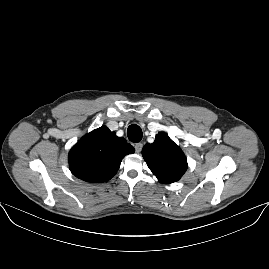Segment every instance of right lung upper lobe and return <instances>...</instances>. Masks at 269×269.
Listing matches in <instances>:
<instances>
[{
	"mask_svg": "<svg viewBox=\"0 0 269 269\" xmlns=\"http://www.w3.org/2000/svg\"><path fill=\"white\" fill-rule=\"evenodd\" d=\"M134 151L123 137H117L115 132L102 126L83 136L70 150L69 167L79 179L102 183L110 180L122 159Z\"/></svg>",
	"mask_w": 269,
	"mask_h": 269,
	"instance_id": "1",
	"label": "right lung upper lobe"
}]
</instances>
